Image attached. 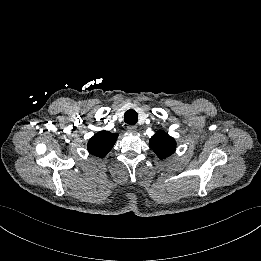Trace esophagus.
I'll use <instances>...</instances> for the list:
<instances>
[{
	"mask_svg": "<svg viewBox=\"0 0 261 261\" xmlns=\"http://www.w3.org/2000/svg\"><path fill=\"white\" fill-rule=\"evenodd\" d=\"M126 129L129 133H136L137 132V127L135 125H128Z\"/></svg>",
	"mask_w": 261,
	"mask_h": 261,
	"instance_id": "1",
	"label": "esophagus"
}]
</instances>
